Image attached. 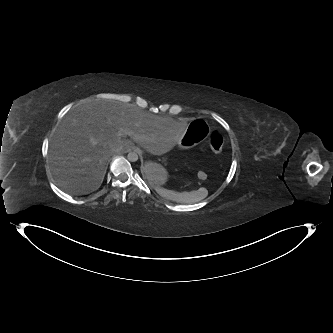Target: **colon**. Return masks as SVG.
Instances as JSON below:
<instances>
[{"instance_id":"colon-1","label":"colon","mask_w":333,"mask_h":333,"mask_svg":"<svg viewBox=\"0 0 333 333\" xmlns=\"http://www.w3.org/2000/svg\"><path fill=\"white\" fill-rule=\"evenodd\" d=\"M209 147L214 154L218 155L221 153L222 147H223V137L221 136V134L218 131L212 132L210 139H209ZM198 176L201 179H204L205 172L200 171L198 173Z\"/></svg>"}]
</instances>
